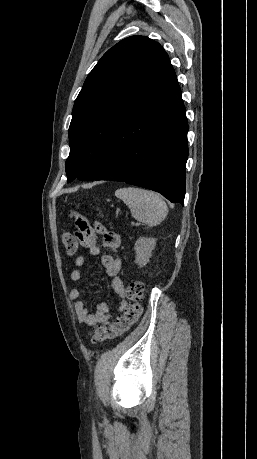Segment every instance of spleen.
<instances>
[{"label": "spleen", "mask_w": 257, "mask_h": 459, "mask_svg": "<svg viewBox=\"0 0 257 459\" xmlns=\"http://www.w3.org/2000/svg\"><path fill=\"white\" fill-rule=\"evenodd\" d=\"M115 195L130 209L137 221L153 227L160 224L168 214V207L158 193L136 187L116 190Z\"/></svg>", "instance_id": "spleen-1"}]
</instances>
